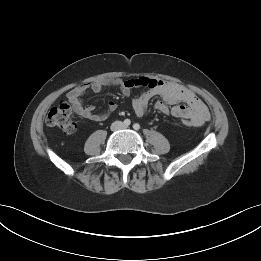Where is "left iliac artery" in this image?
Here are the masks:
<instances>
[{"instance_id": "44dca946", "label": "left iliac artery", "mask_w": 261, "mask_h": 261, "mask_svg": "<svg viewBox=\"0 0 261 261\" xmlns=\"http://www.w3.org/2000/svg\"><path fill=\"white\" fill-rule=\"evenodd\" d=\"M133 128H134L135 130H139V129H140V125H139L138 123H135V124L133 125Z\"/></svg>"}]
</instances>
